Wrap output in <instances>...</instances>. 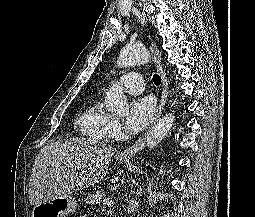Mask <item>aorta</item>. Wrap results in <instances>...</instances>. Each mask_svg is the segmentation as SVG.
I'll use <instances>...</instances> for the list:
<instances>
[{"label": "aorta", "instance_id": "762f6f07", "mask_svg": "<svg viewBox=\"0 0 255 217\" xmlns=\"http://www.w3.org/2000/svg\"><path fill=\"white\" fill-rule=\"evenodd\" d=\"M150 58V53L146 48L126 46L121 49L117 60L118 67H129L146 63ZM106 110L116 115L125 116L129 112L127 98L123 89L117 83L113 84L105 95ZM174 114L169 113L159 119L150 128L146 135V145L148 148L157 146L170 131L174 123Z\"/></svg>", "mask_w": 255, "mask_h": 217}]
</instances>
